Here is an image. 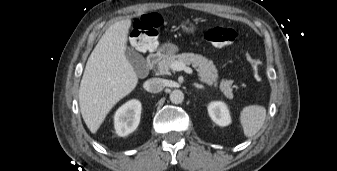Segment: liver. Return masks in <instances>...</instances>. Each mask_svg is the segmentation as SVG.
Here are the masks:
<instances>
[{"instance_id": "6515ba94", "label": "liver", "mask_w": 337, "mask_h": 171, "mask_svg": "<svg viewBox=\"0 0 337 171\" xmlns=\"http://www.w3.org/2000/svg\"><path fill=\"white\" fill-rule=\"evenodd\" d=\"M131 20L111 25L90 54L79 88L84 122L96 133L112 107L131 93L138 76L126 56Z\"/></svg>"}]
</instances>
